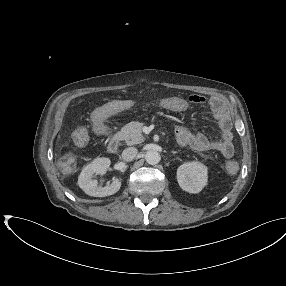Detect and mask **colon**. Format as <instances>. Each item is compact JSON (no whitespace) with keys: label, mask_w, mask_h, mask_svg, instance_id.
<instances>
[{"label":"colon","mask_w":286,"mask_h":286,"mask_svg":"<svg viewBox=\"0 0 286 286\" xmlns=\"http://www.w3.org/2000/svg\"><path fill=\"white\" fill-rule=\"evenodd\" d=\"M191 97H193V96H191ZM191 97H189V98H191ZM73 141H74L75 145H77V146H84L87 143V141H88V132H87V130L85 128L78 129L74 133ZM64 162L67 165L72 166L75 163V158L73 156H71V155L66 156L64 158ZM227 170L229 172H235L237 170V164L234 163V162L228 163L227 164Z\"/></svg>","instance_id":"obj_1"}]
</instances>
